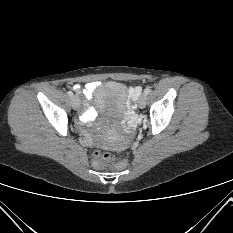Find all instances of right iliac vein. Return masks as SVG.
Instances as JSON below:
<instances>
[{"instance_id": "right-iliac-vein-1", "label": "right iliac vein", "mask_w": 233, "mask_h": 233, "mask_svg": "<svg viewBox=\"0 0 233 233\" xmlns=\"http://www.w3.org/2000/svg\"><path fill=\"white\" fill-rule=\"evenodd\" d=\"M71 105L73 109H78L80 106V100L77 96H72Z\"/></svg>"}]
</instances>
